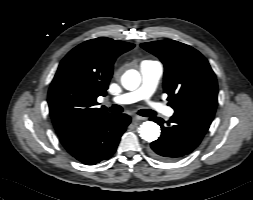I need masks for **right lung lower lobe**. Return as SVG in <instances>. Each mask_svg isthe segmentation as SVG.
I'll return each mask as SVG.
<instances>
[{"mask_svg":"<svg viewBox=\"0 0 253 200\" xmlns=\"http://www.w3.org/2000/svg\"><path fill=\"white\" fill-rule=\"evenodd\" d=\"M130 121L126 114H109L94 124L60 136V141L77 160L94 165L113 155Z\"/></svg>","mask_w":253,"mask_h":200,"instance_id":"1","label":"right lung lower lobe"}]
</instances>
